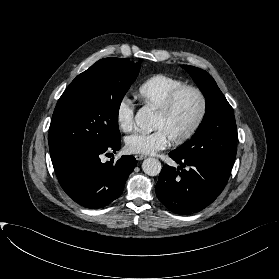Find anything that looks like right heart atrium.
Here are the masks:
<instances>
[{
  "label": "right heart atrium",
  "instance_id": "obj_1",
  "mask_svg": "<svg viewBox=\"0 0 279 279\" xmlns=\"http://www.w3.org/2000/svg\"><path fill=\"white\" fill-rule=\"evenodd\" d=\"M135 107L128 98H122L115 111L118 127L123 132H129L134 127Z\"/></svg>",
  "mask_w": 279,
  "mask_h": 279
}]
</instances>
